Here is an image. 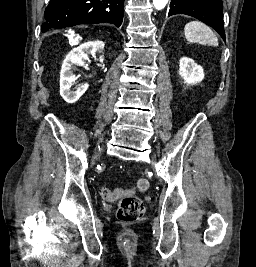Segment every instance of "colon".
<instances>
[{
    "instance_id": "obj_1",
    "label": "colon",
    "mask_w": 256,
    "mask_h": 267,
    "mask_svg": "<svg viewBox=\"0 0 256 267\" xmlns=\"http://www.w3.org/2000/svg\"><path fill=\"white\" fill-rule=\"evenodd\" d=\"M150 182L145 178H139L135 182V191L145 192L149 190ZM100 195L105 197L106 201L117 200L118 209L117 217L120 221L123 222H134L141 218L145 211V205L138 197H123L116 195H128L136 196L133 191H129V188H112L103 189L100 192ZM116 197L125 198L124 200H118Z\"/></svg>"
}]
</instances>
